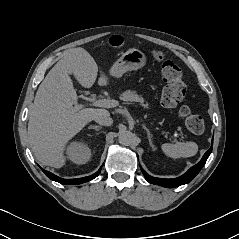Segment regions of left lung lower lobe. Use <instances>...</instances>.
I'll return each mask as SVG.
<instances>
[{
	"label": "left lung lower lobe",
	"mask_w": 239,
	"mask_h": 239,
	"mask_svg": "<svg viewBox=\"0 0 239 239\" xmlns=\"http://www.w3.org/2000/svg\"><path fill=\"white\" fill-rule=\"evenodd\" d=\"M211 152H212V146L204 154L203 158L201 159V161L198 164L191 167L184 175H182L178 178H174V179L155 178V177L148 175L142 168H141V170H142V173L145 176L146 180L152 184L160 185V186L167 187V188L178 187L183 184L189 183L199 173V171L202 169V167L206 163Z\"/></svg>",
	"instance_id": "0a47b994"
}]
</instances>
